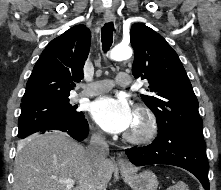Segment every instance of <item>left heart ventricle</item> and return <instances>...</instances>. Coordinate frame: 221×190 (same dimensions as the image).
Instances as JSON below:
<instances>
[{
  "label": "left heart ventricle",
  "mask_w": 221,
  "mask_h": 190,
  "mask_svg": "<svg viewBox=\"0 0 221 190\" xmlns=\"http://www.w3.org/2000/svg\"><path fill=\"white\" fill-rule=\"evenodd\" d=\"M139 127H140V122H139V120L137 119V117H136V115H135L133 124H132V126L130 127L129 131L137 130Z\"/></svg>",
  "instance_id": "b2bd125f"
}]
</instances>
